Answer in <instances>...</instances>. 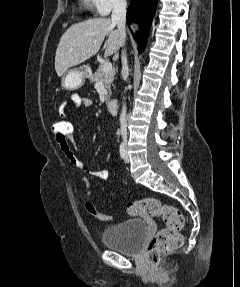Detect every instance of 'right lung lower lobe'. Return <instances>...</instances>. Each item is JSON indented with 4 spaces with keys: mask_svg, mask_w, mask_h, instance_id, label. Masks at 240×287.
<instances>
[{
    "mask_svg": "<svg viewBox=\"0 0 240 287\" xmlns=\"http://www.w3.org/2000/svg\"><path fill=\"white\" fill-rule=\"evenodd\" d=\"M157 0H132L127 10V22H138L141 30L133 34L138 43V51L143 52L151 21L156 10Z\"/></svg>",
    "mask_w": 240,
    "mask_h": 287,
    "instance_id": "98d812e1",
    "label": "right lung lower lobe"
}]
</instances>
